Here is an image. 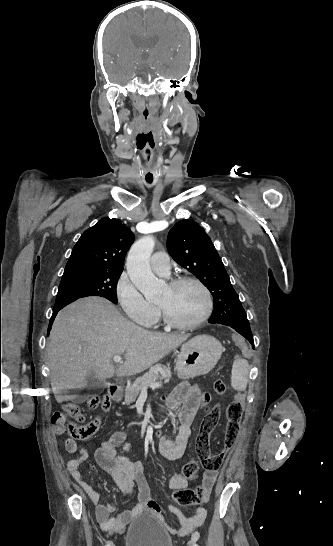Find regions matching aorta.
I'll list each match as a JSON object with an SVG mask.
<instances>
[{
    "instance_id": "aorta-1",
    "label": "aorta",
    "mask_w": 333,
    "mask_h": 546,
    "mask_svg": "<svg viewBox=\"0 0 333 546\" xmlns=\"http://www.w3.org/2000/svg\"><path fill=\"white\" fill-rule=\"evenodd\" d=\"M155 246L152 236H145L131 247L126 261L127 272L137 289L146 299H153L158 292V281L150 268V256Z\"/></svg>"
}]
</instances>
